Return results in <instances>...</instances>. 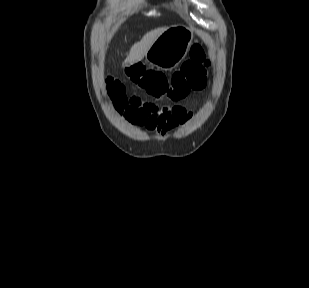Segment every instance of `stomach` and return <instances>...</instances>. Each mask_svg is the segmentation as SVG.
Returning <instances> with one entry per match:
<instances>
[{
	"mask_svg": "<svg viewBox=\"0 0 309 288\" xmlns=\"http://www.w3.org/2000/svg\"><path fill=\"white\" fill-rule=\"evenodd\" d=\"M192 40L191 29L183 25L172 26L153 42L145 59L159 69H172L185 58Z\"/></svg>",
	"mask_w": 309,
	"mask_h": 288,
	"instance_id": "1",
	"label": "stomach"
}]
</instances>
